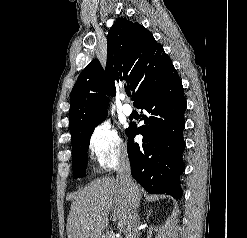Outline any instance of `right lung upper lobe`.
Instances as JSON below:
<instances>
[{"label":"right lung upper lobe","instance_id":"right-lung-upper-lobe-1","mask_svg":"<svg viewBox=\"0 0 247 238\" xmlns=\"http://www.w3.org/2000/svg\"><path fill=\"white\" fill-rule=\"evenodd\" d=\"M173 67L161 44L144 26L118 19L107 37V63L97 59L79 75L70 96L69 128L72 145L107 116L109 98L124 83L136 100L157 85Z\"/></svg>","mask_w":247,"mask_h":238}]
</instances>
